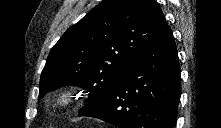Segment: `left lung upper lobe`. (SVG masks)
<instances>
[{
  "label": "left lung upper lobe",
  "instance_id": "obj_1",
  "mask_svg": "<svg viewBox=\"0 0 221 128\" xmlns=\"http://www.w3.org/2000/svg\"><path fill=\"white\" fill-rule=\"evenodd\" d=\"M166 25L154 0H103L51 49L39 98L62 84H73L89 92L79 114L95 108Z\"/></svg>",
  "mask_w": 221,
  "mask_h": 128
}]
</instances>
